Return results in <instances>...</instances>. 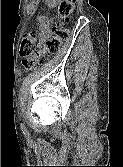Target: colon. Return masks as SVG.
<instances>
[{
    "label": "colon",
    "instance_id": "5ec220e1",
    "mask_svg": "<svg viewBox=\"0 0 123 167\" xmlns=\"http://www.w3.org/2000/svg\"><path fill=\"white\" fill-rule=\"evenodd\" d=\"M75 10V0H61L58 6L59 21L56 26L55 35L46 42L45 49L37 52L35 49L36 33L26 34L20 43V55L23 57V67L26 71H32L42 63L43 58L48 54H54L61 48L67 39L69 30V19Z\"/></svg>",
    "mask_w": 123,
    "mask_h": 167
}]
</instances>
